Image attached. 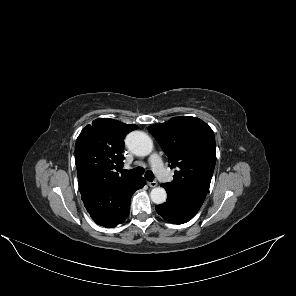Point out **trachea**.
Masks as SVG:
<instances>
[{
	"mask_svg": "<svg viewBox=\"0 0 296 296\" xmlns=\"http://www.w3.org/2000/svg\"><path fill=\"white\" fill-rule=\"evenodd\" d=\"M120 172L123 173V174H126V175H131V176H141V175H143L144 170L141 167H136V168H134L132 170L121 169ZM145 178L149 182H152L153 178H154V175H153L152 171H150V170L146 171Z\"/></svg>",
	"mask_w": 296,
	"mask_h": 296,
	"instance_id": "obj_1",
	"label": "trachea"
}]
</instances>
